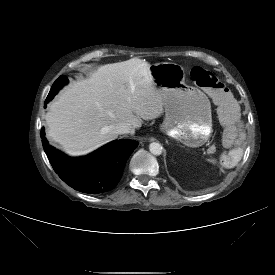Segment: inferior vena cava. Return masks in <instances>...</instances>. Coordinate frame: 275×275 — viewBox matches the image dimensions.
Here are the masks:
<instances>
[{
  "label": "inferior vena cava",
  "instance_id": "obj_1",
  "mask_svg": "<svg viewBox=\"0 0 275 275\" xmlns=\"http://www.w3.org/2000/svg\"><path fill=\"white\" fill-rule=\"evenodd\" d=\"M132 126L128 122H120L111 127V132L117 134H128L131 132Z\"/></svg>",
  "mask_w": 275,
  "mask_h": 275
}]
</instances>
